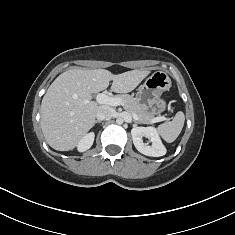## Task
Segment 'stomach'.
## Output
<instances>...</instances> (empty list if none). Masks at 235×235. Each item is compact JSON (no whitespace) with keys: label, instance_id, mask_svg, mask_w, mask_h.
<instances>
[{"label":"stomach","instance_id":"0dacf381","mask_svg":"<svg viewBox=\"0 0 235 235\" xmlns=\"http://www.w3.org/2000/svg\"><path fill=\"white\" fill-rule=\"evenodd\" d=\"M171 87V79L164 71H156L139 86L136 93L137 101L153 115L166 109V101L161 98L164 91Z\"/></svg>","mask_w":235,"mask_h":235}]
</instances>
